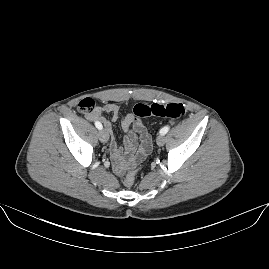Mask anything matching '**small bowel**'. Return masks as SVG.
Wrapping results in <instances>:
<instances>
[{"label": "small bowel", "instance_id": "c3829d8e", "mask_svg": "<svg viewBox=\"0 0 269 269\" xmlns=\"http://www.w3.org/2000/svg\"><path fill=\"white\" fill-rule=\"evenodd\" d=\"M100 113H111L112 121H116L119 117V106L116 103H107L98 112L89 114L91 120L100 118L106 127L107 133L110 136L109 151L116 173L123 174L129 167L142 162L148 155L144 154L141 142L143 140L142 133L146 126L140 120L135 119L132 115L122 117L121 129L125 134L124 137V151L118 147L112 129V123L100 116ZM137 136L140 138V146L137 148Z\"/></svg>", "mask_w": 269, "mask_h": 269}]
</instances>
